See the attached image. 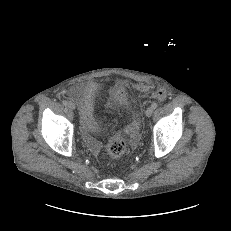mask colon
I'll return each mask as SVG.
<instances>
[{"instance_id": "obj_1", "label": "colon", "mask_w": 231, "mask_h": 231, "mask_svg": "<svg viewBox=\"0 0 231 231\" xmlns=\"http://www.w3.org/2000/svg\"><path fill=\"white\" fill-rule=\"evenodd\" d=\"M136 89L141 92L148 91L149 87L145 83H138L136 84ZM126 87L118 84L115 85L113 88V94L125 98ZM153 96L157 99L164 100L165 99V92L161 89L154 92ZM126 150V142L122 136L115 135L112 136L107 144V154L111 159H118L120 158Z\"/></svg>"}]
</instances>
